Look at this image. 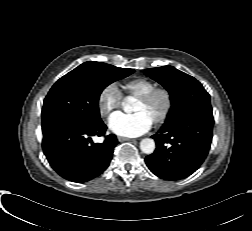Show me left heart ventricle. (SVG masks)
<instances>
[{
    "instance_id": "obj_1",
    "label": "left heart ventricle",
    "mask_w": 252,
    "mask_h": 231,
    "mask_svg": "<svg viewBox=\"0 0 252 231\" xmlns=\"http://www.w3.org/2000/svg\"><path fill=\"white\" fill-rule=\"evenodd\" d=\"M164 107V98L157 96L150 104H145L138 100L134 106V112L145 113L152 121L159 116Z\"/></svg>"
}]
</instances>
